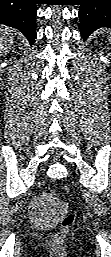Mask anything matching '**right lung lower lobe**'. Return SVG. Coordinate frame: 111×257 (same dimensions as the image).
<instances>
[{
    "label": "right lung lower lobe",
    "instance_id": "right-lung-lower-lobe-1",
    "mask_svg": "<svg viewBox=\"0 0 111 257\" xmlns=\"http://www.w3.org/2000/svg\"><path fill=\"white\" fill-rule=\"evenodd\" d=\"M36 0H0V24L18 29L32 45L35 42Z\"/></svg>",
    "mask_w": 111,
    "mask_h": 257
}]
</instances>
